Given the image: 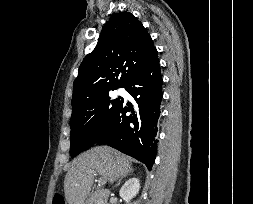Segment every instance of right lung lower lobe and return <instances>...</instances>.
<instances>
[{"mask_svg": "<svg viewBox=\"0 0 253 204\" xmlns=\"http://www.w3.org/2000/svg\"><path fill=\"white\" fill-rule=\"evenodd\" d=\"M162 76L157 50L131 76L126 91L135 104H121L96 144L109 146L143 162L151 170L157 152V120L162 100ZM127 112L131 114L126 115Z\"/></svg>", "mask_w": 253, "mask_h": 204, "instance_id": "1", "label": "right lung lower lobe"}]
</instances>
